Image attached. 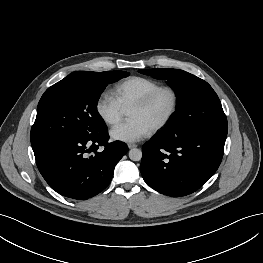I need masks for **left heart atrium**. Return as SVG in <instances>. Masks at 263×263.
Segmentation results:
<instances>
[{
	"mask_svg": "<svg viewBox=\"0 0 263 263\" xmlns=\"http://www.w3.org/2000/svg\"><path fill=\"white\" fill-rule=\"evenodd\" d=\"M152 128L139 118H130L115 126L110 135L112 139L132 143L149 135Z\"/></svg>",
	"mask_w": 263,
	"mask_h": 263,
	"instance_id": "39dd6f15",
	"label": "left heart atrium"
}]
</instances>
